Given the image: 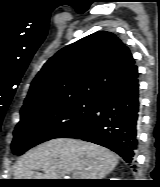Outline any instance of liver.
I'll list each match as a JSON object with an SVG mask.
<instances>
[{
	"mask_svg": "<svg viewBox=\"0 0 160 187\" xmlns=\"http://www.w3.org/2000/svg\"><path fill=\"white\" fill-rule=\"evenodd\" d=\"M118 160L116 154L102 146L58 138L26 152L17 162L14 179H60L69 173L76 174L73 179H102Z\"/></svg>",
	"mask_w": 160,
	"mask_h": 187,
	"instance_id": "obj_1",
	"label": "liver"
}]
</instances>
